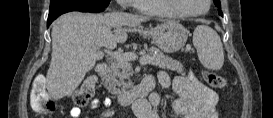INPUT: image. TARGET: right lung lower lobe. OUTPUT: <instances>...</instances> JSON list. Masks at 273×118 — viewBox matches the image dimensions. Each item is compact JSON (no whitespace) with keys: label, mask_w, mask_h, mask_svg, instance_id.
<instances>
[{"label":"right lung lower lobe","mask_w":273,"mask_h":118,"mask_svg":"<svg viewBox=\"0 0 273 118\" xmlns=\"http://www.w3.org/2000/svg\"><path fill=\"white\" fill-rule=\"evenodd\" d=\"M105 8L84 5L80 3L71 2L68 0H57L50 3V11L47 20V27L61 14L70 11H80V12H92L98 13L104 11Z\"/></svg>","instance_id":"98d812e1"}]
</instances>
